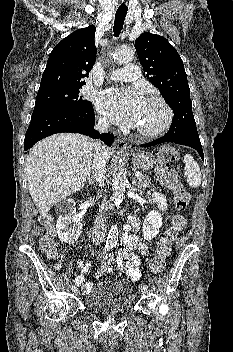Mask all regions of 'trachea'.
<instances>
[{"label": "trachea", "mask_w": 233, "mask_h": 352, "mask_svg": "<svg viewBox=\"0 0 233 352\" xmlns=\"http://www.w3.org/2000/svg\"><path fill=\"white\" fill-rule=\"evenodd\" d=\"M127 8H118L115 14V21H114V36L118 37L122 28H123V24L125 21V17L127 14Z\"/></svg>", "instance_id": "3493384b"}]
</instances>
